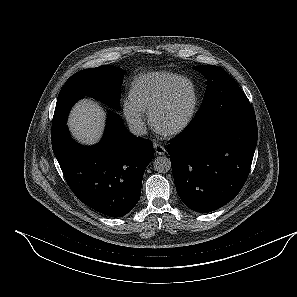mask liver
Returning <instances> with one entry per match:
<instances>
[{
    "label": "liver",
    "mask_w": 297,
    "mask_h": 297,
    "mask_svg": "<svg viewBox=\"0 0 297 297\" xmlns=\"http://www.w3.org/2000/svg\"><path fill=\"white\" fill-rule=\"evenodd\" d=\"M105 112L97 103L83 99L70 113L68 126L73 138L79 143L95 144L103 133Z\"/></svg>",
    "instance_id": "1"
}]
</instances>
